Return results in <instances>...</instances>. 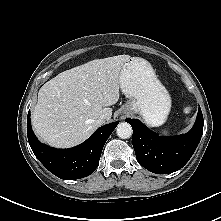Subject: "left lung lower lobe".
<instances>
[{
	"label": "left lung lower lobe",
	"mask_w": 221,
	"mask_h": 221,
	"mask_svg": "<svg viewBox=\"0 0 221 221\" xmlns=\"http://www.w3.org/2000/svg\"><path fill=\"white\" fill-rule=\"evenodd\" d=\"M133 128V147L138 162L157 174H169L182 168L195 152L203 133V115L199 107L193 128L184 135L162 137L136 119H125Z\"/></svg>",
	"instance_id": "0a47b994"
}]
</instances>
